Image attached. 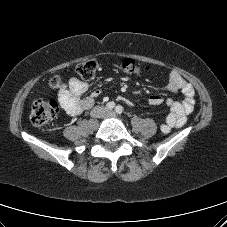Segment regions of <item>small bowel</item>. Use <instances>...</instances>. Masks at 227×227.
I'll return each mask as SVG.
<instances>
[{
  "label": "small bowel",
  "instance_id": "c3829d8e",
  "mask_svg": "<svg viewBox=\"0 0 227 227\" xmlns=\"http://www.w3.org/2000/svg\"><path fill=\"white\" fill-rule=\"evenodd\" d=\"M88 89V84L77 79L72 78L68 85L61 88L58 92V100L61 108L70 116H78L84 110L90 109L95 98L100 96L101 90L95 89L89 96L83 95ZM168 90L171 92H180L183 94V100L176 101L171 98L166 99V104L170 109L166 117L165 123L161 125L163 133L170 132L173 128L182 127L188 118V115L193 111L195 100V90L192 84L186 81L177 72H172L169 77ZM164 101L161 95H152L148 103L151 106H157Z\"/></svg>",
  "mask_w": 227,
  "mask_h": 227
}]
</instances>
